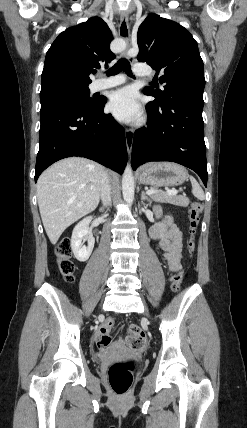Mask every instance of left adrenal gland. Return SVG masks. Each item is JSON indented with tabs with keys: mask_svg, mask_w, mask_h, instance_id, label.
<instances>
[{
	"mask_svg": "<svg viewBox=\"0 0 247 428\" xmlns=\"http://www.w3.org/2000/svg\"><path fill=\"white\" fill-rule=\"evenodd\" d=\"M141 199L142 200H147L148 201V205H151V203H152V201H151V198H149L146 194H145V192L142 190V193H141Z\"/></svg>",
	"mask_w": 247,
	"mask_h": 428,
	"instance_id": "obj_1",
	"label": "left adrenal gland"
}]
</instances>
